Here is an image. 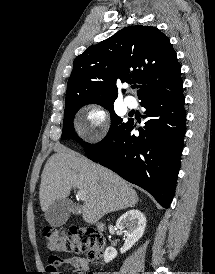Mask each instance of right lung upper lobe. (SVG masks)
<instances>
[{"mask_svg": "<svg viewBox=\"0 0 215 274\" xmlns=\"http://www.w3.org/2000/svg\"><path fill=\"white\" fill-rule=\"evenodd\" d=\"M180 71L169 38L158 28L125 27L75 58L65 106L114 102L119 82L141 84V102L159 94L169 95L182 89Z\"/></svg>", "mask_w": 215, "mask_h": 274, "instance_id": "1", "label": "right lung upper lobe"}]
</instances>
